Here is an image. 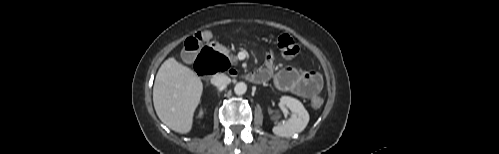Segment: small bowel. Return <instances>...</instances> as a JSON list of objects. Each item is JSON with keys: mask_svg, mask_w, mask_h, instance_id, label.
<instances>
[{"mask_svg": "<svg viewBox=\"0 0 499 154\" xmlns=\"http://www.w3.org/2000/svg\"><path fill=\"white\" fill-rule=\"evenodd\" d=\"M267 81L273 75L272 59L258 70ZM274 84L278 90L292 92L303 98L317 96L323 86L321 76L316 72H302L295 67H287L274 77Z\"/></svg>", "mask_w": 499, "mask_h": 154, "instance_id": "c3829d8e", "label": "small bowel"}]
</instances>
